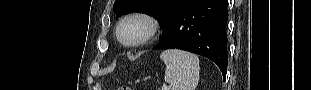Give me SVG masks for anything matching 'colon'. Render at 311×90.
<instances>
[{"mask_svg": "<svg viewBox=\"0 0 311 90\" xmlns=\"http://www.w3.org/2000/svg\"><path fill=\"white\" fill-rule=\"evenodd\" d=\"M118 90H132V89L130 87L123 86V87H120Z\"/></svg>", "mask_w": 311, "mask_h": 90, "instance_id": "obj_1", "label": "colon"}]
</instances>
